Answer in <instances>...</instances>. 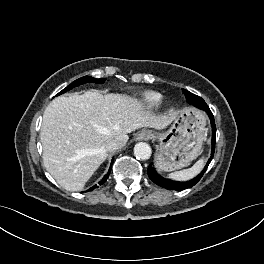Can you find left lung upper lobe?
<instances>
[{
  "instance_id": "5c2ea615",
  "label": "left lung upper lobe",
  "mask_w": 264,
  "mask_h": 264,
  "mask_svg": "<svg viewBox=\"0 0 264 264\" xmlns=\"http://www.w3.org/2000/svg\"><path fill=\"white\" fill-rule=\"evenodd\" d=\"M183 92L186 96L188 103L193 104V105H207L201 97H199V96H197V95H195V94H193V93H191L185 89H183Z\"/></svg>"
}]
</instances>
